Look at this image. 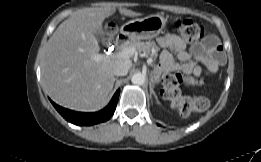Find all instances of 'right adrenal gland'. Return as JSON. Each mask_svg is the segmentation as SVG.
<instances>
[{
  "label": "right adrenal gland",
  "instance_id": "2a0ac1e0",
  "mask_svg": "<svg viewBox=\"0 0 261 162\" xmlns=\"http://www.w3.org/2000/svg\"><path fill=\"white\" fill-rule=\"evenodd\" d=\"M118 80V77H116L115 79H114V81H117Z\"/></svg>",
  "mask_w": 261,
  "mask_h": 162
}]
</instances>
